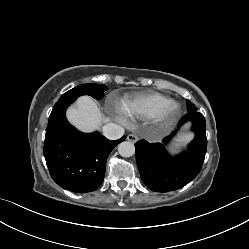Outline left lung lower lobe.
<instances>
[{"label": "left lung lower lobe", "mask_w": 249, "mask_h": 249, "mask_svg": "<svg viewBox=\"0 0 249 249\" xmlns=\"http://www.w3.org/2000/svg\"><path fill=\"white\" fill-rule=\"evenodd\" d=\"M192 121L194 140L189 150L179 156H170L165 146L175 135L172 134L161 143L150 144L145 140L135 144L136 162L144 184L155 192H168L182 188L200 172L207 149L206 124L204 116L197 112L187 113L179 127Z\"/></svg>", "instance_id": "1"}]
</instances>
